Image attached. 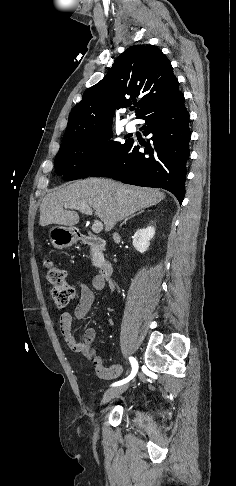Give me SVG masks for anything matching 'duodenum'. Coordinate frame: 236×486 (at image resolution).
Wrapping results in <instances>:
<instances>
[{
	"instance_id": "obj_1",
	"label": "duodenum",
	"mask_w": 236,
	"mask_h": 486,
	"mask_svg": "<svg viewBox=\"0 0 236 486\" xmlns=\"http://www.w3.org/2000/svg\"><path fill=\"white\" fill-rule=\"evenodd\" d=\"M78 240L82 244L90 246L97 253H101L105 246V242L103 239L92 235L79 233ZM112 273H113L112 264L106 260H102L99 265V278L102 281H107L112 276Z\"/></svg>"
}]
</instances>
